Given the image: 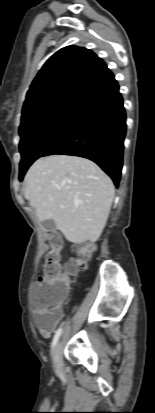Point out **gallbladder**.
I'll return each mask as SVG.
<instances>
[{"instance_id": "bac80fb5", "label": "gallbladder", "mask_w": 155, "mask_h": 413, "mask_svg": "<svg viewBox=\"0 0 155 413\" xmlns=\"http://www.w3.org/2000/svg\"><path fill=\"white\" fill-rule=\"evenodd\" d=\"M43 225H44V227L46 228V229H48V230H52V229H54L55 228V223H54V221H45L44 223H43Z\"/></svg>"}]
</instances>
